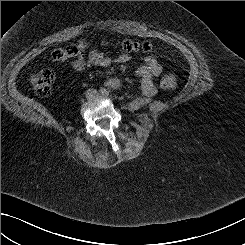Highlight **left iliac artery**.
<instances>
[{"mask_svg": "<svg viewBox=\"0 0 245 245\" xmlns=\"http://www.w3.org/2000/svg\"><path fill=\"white\" fill-rule=\"evenodd\" d=\"M108 95H109V92L107 91V92H106V96H108Z\"/></svg>", "mask_w": 245, "mask_h": 245, "instance_id": "44dca946", "label": "left iliac artery"}]
</instances>
